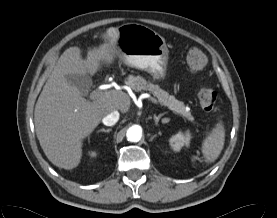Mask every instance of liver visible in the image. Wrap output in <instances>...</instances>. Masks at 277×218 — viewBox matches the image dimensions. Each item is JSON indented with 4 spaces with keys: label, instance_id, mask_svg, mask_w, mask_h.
<instances>
[{
    "label": "liver",
    "instance_id": "obj_1",
    "mask_svg": "<svg viewBox=\"0 0 277 218\" xmlns=\"http://www.w3.org/2000/svg\"><path fill=\"white\" fill-rule=\"evenodd\" d=\"M104 43L88 48L86 59L79 47L66 49L58 59L37 100L34 111L35 131L45 155L59 168L77 167L82 158L83 140L101 119L114 110L126 113L130 97L123 91H102L92 101L82 97L71 85L68 74L93 75L109 67L118 56L115 46L118 30L110 27L101 35Z\"/></svg>",
    "mask_w": 277,
    "mask_h": 218
}]
</instances>
